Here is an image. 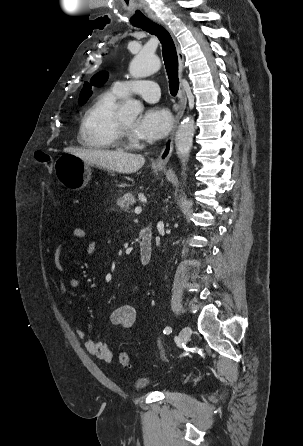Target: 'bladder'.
<instances>
[{
    "label": "bladder",
    "mask_w": 303,
    "mask_h": 446,
    "mask_svg": "<svg viewBox=\"0 0 303 446\" xmlns=\"http://www.w3.org/2000/svg\"><path fill=\"white\" fill-rule=\"evenodd\" d=\"M152 381L147 377H141L136 381V389L142 390L151 385Z\"/></svg>",
    "instance_id": "bladder-1"
}]
</instances>
